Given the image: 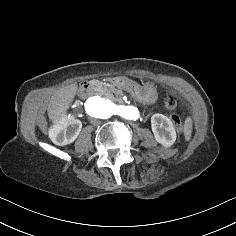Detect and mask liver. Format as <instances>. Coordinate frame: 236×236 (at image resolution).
<instances>
[{"label":"liver","mask_w":236,"mask_h":236,"mask_svg":"<svg viewBox=\"0 0 236 236\" xmlns=\"http://www.w3.org/2000/svg\"><path fill=\"white\" fill-rule=\"evenodd\" d=\"M76 92V84L65 86L55 92V94L51 97L47 108L48 116L51 121L55 122L62 118L73 97L76 95Z\"/></svg>","instance_id":"obj_1"}]
</instances>
